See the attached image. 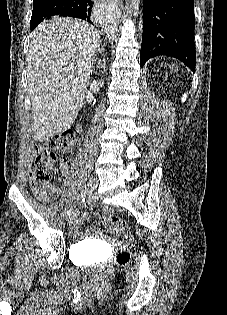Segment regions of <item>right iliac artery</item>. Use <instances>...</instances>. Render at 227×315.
<instances>
[{"mask_svg":"<svg viewBox=\"0 0 227 315\" xmlns=\"http://www.w3.org/2000/svg\"><path fill=\"white\" fill-rule=\"evenodd\" d=\"M86 194H87V189L85 188V189H83V190L81 191V193L79 194L78 200L84 201V200H85V197H86ZM73 209H74V205L71 206V208L67 211V213H68L69 215L72 214V213H73Z\"/></svg>","mask_w":227,"mask_h":315,"instance_id":"1","label":"right iliac artery"}]
</instances>
